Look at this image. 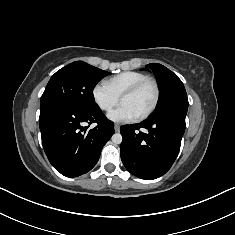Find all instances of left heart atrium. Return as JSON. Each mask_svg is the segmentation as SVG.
Returning <instances> with one entry per match:
<instances>
[{
  "instance_id": "39dd6f15",
  "label": "left heart atrium",
  "mask_w": 235,
  "mask_h": 235,
  "mask_svg": "<svg viewBox=\"0 0 235 235\" xmlns=\"http://www.w3.org/2000/svg\"><path fill=\"white\" fill-rule=\"evenodd\" d=\"M108 118L114 122L127 123L135 121L138 118V115L128 105L121 104L108 114Z\"/></svg>"
}]
</instances>
